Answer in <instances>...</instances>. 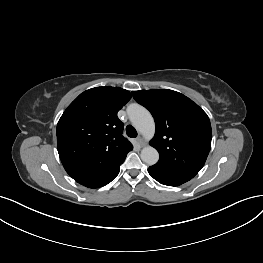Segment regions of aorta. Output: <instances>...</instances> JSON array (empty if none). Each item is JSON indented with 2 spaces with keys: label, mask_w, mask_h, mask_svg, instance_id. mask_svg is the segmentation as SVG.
Instances as JSON below:
<instances>
[{
  "label": "aorta",
  "mask_w": 263,
  "mask_h": 263,
  "mask_svg": "<svg viewBox=\"0 0 263 263\" xmlns=\"http://www.w3.org/2000/svg\"><path fill=\"white\" fill-rule=\"evenodd\" d=\"M128 115L134 127L146 138H150L155 132V122L151 113L140 105L128 108ZM140 157L148 165H154L159 160L158 151L152 146H145L141 150Z\"/></svg>",
  "instance_id": "762f6f07"
}]
</instances>
